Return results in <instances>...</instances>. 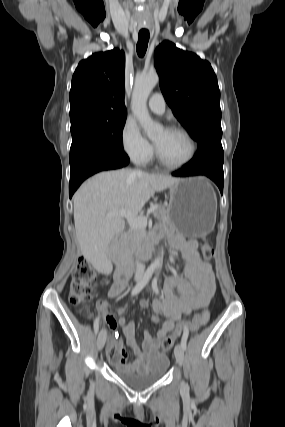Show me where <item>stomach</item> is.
Masks as SVG:
<instances>
[{"label":"stomach","instance_id":"0dacf381","mask_svg":"<svg viewBox=\"0 0 285 427\" xmlns=\"http://www.w3.org/2000/svg\"><path fill=\"white\" fill-rule=\"evenodd\" d=\"M217 198L204 177L180 179L170 186L168 221L174 230L185 236L208 235L216 221Z\"/></svg>","mask_w":285,"mask_h":427}]
</instances>
